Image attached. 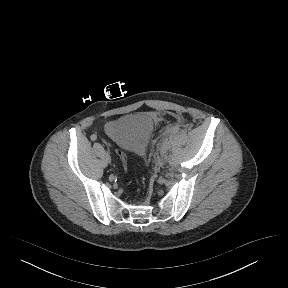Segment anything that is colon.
<instances>
[{
  "label": "colon",
  "instance_id": "obj_1",
  "mask_svg": "<svg viewBox=\"0 0 288 288\" xmlns=\"http://www.w3.org/2000/svg\"><path fill=\"white\" fill-rule=\"evenodd\" d=\"M118 156H119L123 166H126L127 165L126 153L123 150H118Z\"/></svg>",
  "mask_w": 288,
  "mask_h": 288
}]
</instances>
